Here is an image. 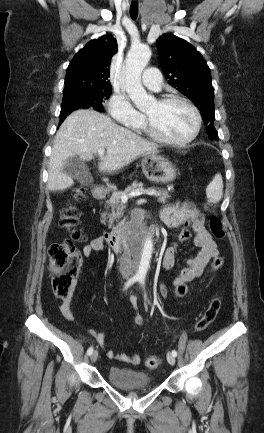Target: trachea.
I'll return each instance as SVG.
<instances>
[{"label":"trachea","mask_w":264,"mask_h":433,"mask_svg":"<svg viewBox=\"0 0 264 433\" xmlns=\"http://www.w3.org/2000/svg\"><path fill=\"white\" fill-rule=\"evenodd\" d=\"M130 16L133 20L138 17V2H132L130 6Z\"/></svg>","instance_id":"3493384b"}]
</instances>
